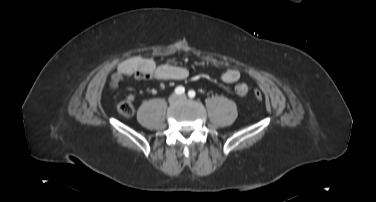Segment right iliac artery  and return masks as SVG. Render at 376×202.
<instances>
[{
    "mask_svg": "<svg viewBox=\"0 0 376 202\" xmlns=\"http://www.w3.org/2000/svg\"><path fill=\"white\" fill-rule=\"evenodd\" d=\"M185 92V88L183 87V86H178V87H176V89H175V93L177 94V95H181V94H183Z\"/></svg>",
    "mask_w": 376,
    "mask_h": 202,
    "instance_id": "right-iliac-artery-1",
    "label": "right iliac artery"
}]
</instances>
